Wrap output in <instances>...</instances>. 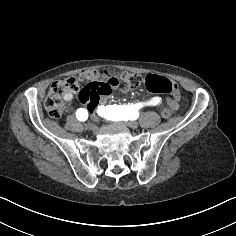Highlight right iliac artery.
Masks as SVG:
<instances>
[{"label": "right iliac artery", "instance_id": "right-iliac-artery-1", "mask_svg": "<svg viewBox=\"0 0 236 236\" xmlns=\"http://www.w3.org/2000/svg\"><path fill=\"white\" fill-rule=\"evenodd\" d=\"M76 117L79 121H86L88 119V111L84 108H79L76 112Z\"/></svg>", "mask_w": 236, "mask_h": 236}]
</instances>
